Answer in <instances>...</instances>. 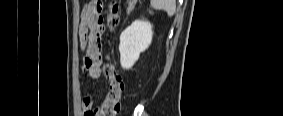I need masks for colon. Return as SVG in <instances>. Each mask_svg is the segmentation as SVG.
<instances>
[{
    "label": "colon",
    "mask_w": 283,
    "mask_h": 116,
    "mask_svg": "<svg viewBox=\"0 0 283 116\" xmlns=\"http://www.w3.org/2000/svg\"><path fill=\"white\" fill-rule=\"evenodd\" d=\"M106 12V24L109 31L112 32L117 28L120 21L118 3L110 1ZM103 73L109 83V91L102 105V111L105 116H115L120 112L124 82L116 65L109 59L103 64Z\"/></svg>",
    "instance_id": "colon-1"
}]
</instances>
